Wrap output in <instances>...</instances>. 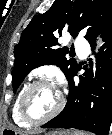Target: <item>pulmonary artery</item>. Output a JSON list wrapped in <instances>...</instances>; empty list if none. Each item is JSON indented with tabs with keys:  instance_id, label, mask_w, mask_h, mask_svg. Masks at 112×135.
I'll return each mask as SVG.
<instances>
[{
	"instance_id": "1",
	"label": "pulmonary artery",
	"mask_w": 112,
	"mask_h": 135,
	"mask_svg": "<svg viewBox=\"0 0 112 135\" xmlns=\"http://www.w3.org/2000/svg\"><path fill=\"white\" fill-rule=\"evenodd\" d=\"M75 48H76L78 55L81 58H85L90 51V46H89L88 42L82 38H78L75 41Z\"/></svg>"
}]
</instances>
